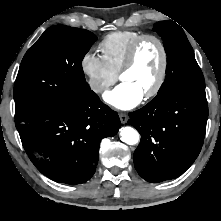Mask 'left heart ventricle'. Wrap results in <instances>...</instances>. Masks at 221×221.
I'll return each mask as SVG.
<instances>
[{"mask_svg": "<svg viewBox=\"0 0 221 221\" xmlns=\"http://www.w3.org/2000/svg\"><path fill=\"white\" fill-rule=\"evenodd\" d=\"M160 64L159 46L152 40L145 41L138 51L135 64L122 75L121 81L133 85L145 95L156 82Z\"/></svg>", "mask_w": 221, "mask_h": 221, "instance_id": "b2bd125f", "label": "left heart ventricle"}]
</instances>
